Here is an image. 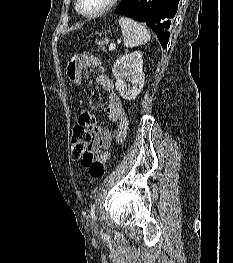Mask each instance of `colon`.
<instances>
[{
    "instance_id": "5ec220e1",
    "label": "colon",
    "mask_w": 233,
    "mask_h": 263,
    "mask_svg": "<svg viewBox=\"0 0 233 263\" xmlns=\"http://www.w3.org/2000/svg\"><path fill=\"white\" fill-rule=\"evenodd\" d=\"M96 128L94 116L89 112L81 113L78 123L73 129L71 148L73 156L82 159L83 165L88 168L91 177L98 179L104 176L106 164L99 160H94L91 154V144Z\"/></svg>"
}]
</instances>
